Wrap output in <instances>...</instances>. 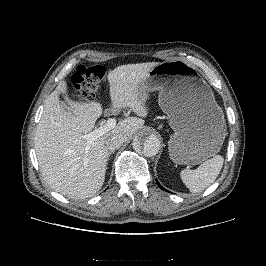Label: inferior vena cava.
<instances>
[{"instance_id":"inferior-vena-cava-1","label":"inferior vena cava","mask_w":266,"mask_h":266,"mask_svg":"<svg viewBox=\"0 0 266 266\" xmlns=\"http://www.w3.org/2000/svg\"><path fill=\"white\" fill-rule=\"evenodd\" d=\"M125 142V138L122 135H112L105 141V146L108 150L113 151L122 146Z\"/></svg>"}]
</instances>
